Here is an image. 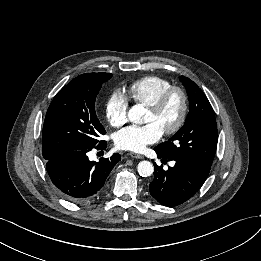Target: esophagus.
Returning a JSON list of instances; mask_svg holds the SVG:
<instances>
[{
  "label": "esophagus",
  "instance_id": "obj_1",
  "mask_svg": "<svg viewBox=\"0 0 261 261\" xmlns=\"http://www.w3.org/2000/svg\"><path fill=\"white\" fill-rule=\"evenodd\" d=\"M129 155H130L132 158H136V159H143V158H144L143 155L137 154V153H133V152H130Z\"/></svg>",
  "mask_w": 261,
  "mask_h": 261
}]
</instances>
